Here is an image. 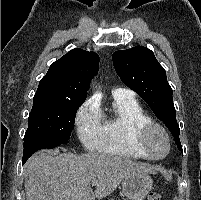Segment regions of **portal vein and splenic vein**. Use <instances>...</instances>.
I'll return each instance as SVG.
<instances>
[{
  "label": "portal vein and splenic vein",
  "mask_w": 201,
  "mask_h": 200,
  "mask_svg": "<svg viewBox=\"0 0 201 200\" xmlns=\"http://www.w3.org/2000/svg\"><path fill=\"white\" fill-rule=\"evenodd\" d=\"M97 182L96 181H92V186H96Z\"/></svg>",
  "instance_id": "18ae733b"
}]
</instances>
